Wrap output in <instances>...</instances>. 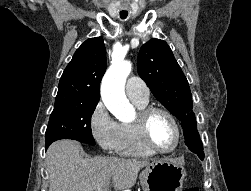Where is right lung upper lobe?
<instances>
[{
	"instance_id": "1",
	"label": "right lung upper lobe",
	"mask_w": 251,
	"mask_h": 191,
	"mask_svg": "<svg viewBox=\"0 0 251 191\" xmlns=\"http://www.w3.org/2000/svg\"><path fill=\"white\" fill-rule=\"evenodd\" d=\"M106 70V49L101 37L86 40L75 52L59 82L54 107L98 103Z\"/></svg>"
}]
</instances>
